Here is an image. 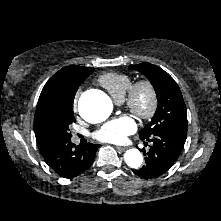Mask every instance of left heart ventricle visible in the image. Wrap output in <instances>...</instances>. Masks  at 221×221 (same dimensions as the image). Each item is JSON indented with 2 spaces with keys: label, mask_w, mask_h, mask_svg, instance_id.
Returning <instances> with one entry per match:
<instances>
[{
  "label": "left heart ventricle",
  "mask_w": 221,
  "mask_h": 221,
  "mask_svg": "<svg viewBox=\"0 0 221 221\" xmlns=\"http://www.w3.org/2000/svg\"><path fill=\"white\" fill-rule=\"evenodd\" d=\"M139 102L142 106H145L147 104V95L145 92H142L140 95H139Z\"/></svg>",
  "instance_id": "b2bd125f"
}]
</instances>
